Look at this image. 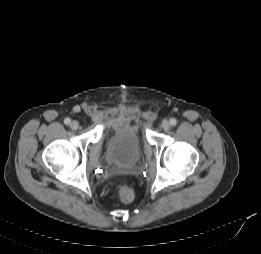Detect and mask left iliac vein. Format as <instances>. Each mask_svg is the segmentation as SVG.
<instances>
[{
    "mask_svg": "<svg viewBox=\"0 0 261 254\" xmlns=\"http://www.w3.org/2000/svg\"><path fill=\"white\" fill-rule=\"evenodd\" d=\"M161 128L165 131L170 129V122L167 120H163L161 123Z\"/></svg>",
    "mask_w": 261,
    "mask_h": 254,
    "instance_id": "4c4485c4",
    "label": "left iliac vein"
}]
</instances>
